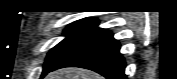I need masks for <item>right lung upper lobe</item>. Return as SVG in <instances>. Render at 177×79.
<instances>
[{"label": "right lung upper lobe", "mask_w": 177, "mask_h": 79, "mask_svg": "<svg viewBox=\"0 0 177 79\" xmlns=\"http://www.w3.org/2000/svg\"><path fill=\"white\" fill-rule=\"evenodd\" d=\"M85 19H93V18H91V17H88V18H85ZM85 19H82V20H85Z\"/></svg>", "instance_id": "obj_1"}]
</instances>
